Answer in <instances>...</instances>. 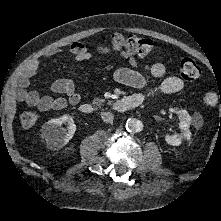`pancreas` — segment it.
<instances>
[{"label": "pancreas", "instance_id": "1", "mask_svg": "<svg viewBox=\"0 0 221 221\" xmlns=\"http://www.w3.org/2000/svg\"><path fill=\"white\" fill-rule=\"evenodd\" d=\"M104 102H105V99L95 98V99H93V102H92V103H93L95 106L101 107L102 103H104Z\"/></svg>", "mask_w": 221, "mask_h": 221}]
</instances>
